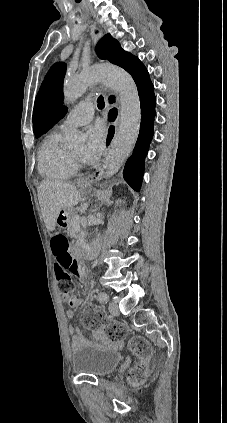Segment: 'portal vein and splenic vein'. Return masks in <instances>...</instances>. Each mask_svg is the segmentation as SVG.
Segmentation results:
<instances>
[{
	"instance_id": "portal-vein-and-splenic-vein-1",
	"label": "portal vein and splenic vein",
	"mask_w": 227,
	"mask_h": 423,
	"mask_svg": "<svg viewBox=\"0 0 227 423\" xmlns=\"http://www.w3.org/2000/svg\"><path fill=\"white\" fill-rule=\"evenodd\" d=\"M73 221H77V223H79L80 221L79 215H75V217H73Z\"/></svg>"
}]
</instances>
